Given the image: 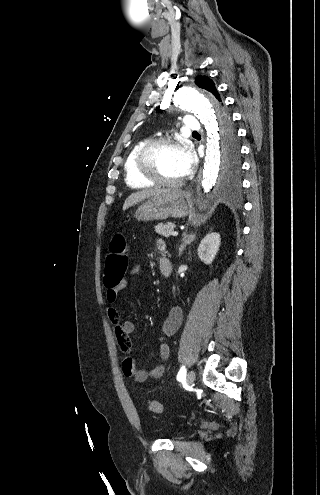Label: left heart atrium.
<instances>
[{
	"mask_svg": "<svg viewBox=\"0 0 320 495\" xmlns=\"http://www.w3.org/2000/svg\"><path fill=\"white\" fill-rule=\"evenodd\" d=\"M194 155L190 150H186L183 156V170L184 176L189 174L193 164H194Z\"/></svg>",
	"mask_w": 320,
	"mask_h": 495,
	"instance_id": "39dd6f15",
	"label": "left heart atrium"
}]
</instances>
